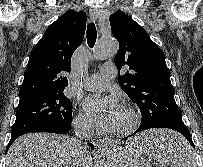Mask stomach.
Returning a JSON list of instances; mask_svg holds the SVG:
<instances>
[{
    "mask_svg": "<svg viewBox=\"0 0 203 167\" xmlns=\"http://www.w3.org/2000/svg\"><path fill=\"white\" fill-rule=\"evenodd\" d=\"M154 132L156 131H150L147 134H142V136L136 139L141 140L143 144L145 143L146 139ZM141 148V144L138 147L134 146L132 140L128 142L124 148H117L112 150L110 155L114 167H149L140 155Z\"/></svg>",
    "mask_w": 203,
    "mask_h": 167,
    "instance_id": "stomach-1",
    "label": "stomach"
}]
</instances>
